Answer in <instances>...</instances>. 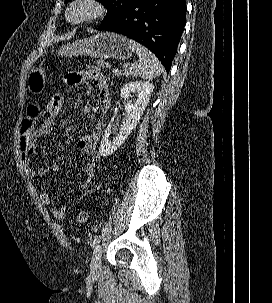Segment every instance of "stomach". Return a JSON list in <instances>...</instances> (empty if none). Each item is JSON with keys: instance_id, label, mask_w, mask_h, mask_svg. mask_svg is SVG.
Here are the masks:
<instances>
[{"instance_id": "obj_1", "label": "stomach", "mask_w": 272, "mask_h": 303, "mask_svg": "<svg viewBox=\"0 0 272 303\" xmlns=\"http://www.w3.org/2000/svg\"><path fill=\"white\" fill-rule=\"evenodd\" d=\"M133 47L129 40L114 33H100L94 36L77 40L73 43L62 45L57 56L72 57L86 55L99 59H120L127 60L133 54ZM28 90L33 94H40L46 87L45 68H34L27 78Z\"/></svg>"}]
</instances>
